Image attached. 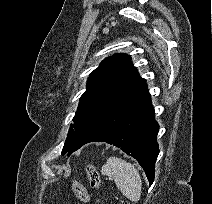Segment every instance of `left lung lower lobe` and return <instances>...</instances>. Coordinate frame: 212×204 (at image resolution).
<instances>
[{"label": "left lung lower lobe", "instance_id": "0a47b994", "mask_svg": "<svg viewBox=\"0 0 212 204\" xmlns=\"http://www.w3.org/2000/svg\"><path fill=\"white\" fill-rule=\"evenodd\" d=\"M158 130L150 93L145 83L78 135L68 156L89 142L109 143L135 158L144 169L151 185L159 154L156 141Z\"/></svg>", "mask_w": 212, "mask_h": 204}]
</instances>
